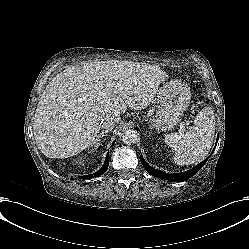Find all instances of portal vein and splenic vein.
Masks as SVG:
<instances>
[{
  "instance_id": "portal-vein-and-splenic-vein-1",
  "label": "portal vein and splenic vein",
  "mask_w": 249,
  "mask_h": 249,
  "mask_svg": "<svg viewBox=\"0 0 249 249\" xmlns=\"http://www.w3.org/2000/svg\"><path fill=\"white\" fill-rule=\"evenodd\" d=\"M181 131H182V132H184V131H185L184 127H181Z\"/></svg>"
}]
</instances>
